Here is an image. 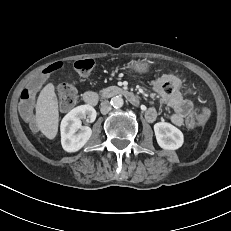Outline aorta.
Here are the masks:
<instances>
[{"instance_id":"1","label":"aorta","mask_w":231,"mask_h":231,"mask_svg":"<svg viewBox=\"0 0 231 231\" xmlns=\"http://www.w3.org/2000/svg\"><path fill=\"white\" fill-rule=\"evenodd\" d=\"M124 104V100L121 96H114L112 99H111V105L114 107V108H121Z\"/></svg>"}]
</instances>
